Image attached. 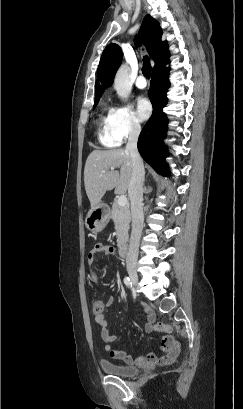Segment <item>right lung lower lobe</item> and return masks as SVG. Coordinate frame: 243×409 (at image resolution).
I'll return each instance as SVG.
<instances>
[{
	"label": "right lung lower lobe",
	"mask_w": 243,
	"mask_h": 409,
	"mask_svg": "<svg viewBox=\"0 0 243 409\" xmlns=\"http://www.w3.org/2000/svg\"><path fill=\"white\" fill-rule=\"evenodd\" d=\"M169 54L152 69L149 97L153 106V113L141 131L138 140V150L143 159L159 174L169 176L168 164L165 162L167 148L163 143L166 137L167 118L163 112L167 104L166 92L170 85L168 76Z\"/></svg>",
	"instance_id": "1"
}]
</instances>
